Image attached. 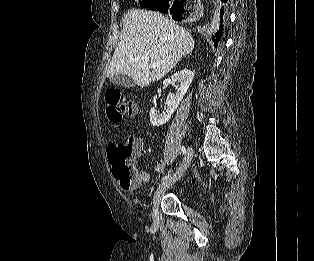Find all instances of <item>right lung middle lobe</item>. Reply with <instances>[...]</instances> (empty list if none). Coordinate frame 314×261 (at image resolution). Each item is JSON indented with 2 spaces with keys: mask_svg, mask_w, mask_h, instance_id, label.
Segmentation results:
<instances>
[{
  "mask_svg": "<svg viewBox=\"0 0 314 261\" xmlns=\"http://www.w3.org/2000/svg\"><path fill=\"white\" fill-rule=\"evenodd\" d=\"M161 1L162 0H139L140 6L142 8H148V7H150L152 5H155V4H157V3L161 2Z\"/></svg>",
  "mask_w": 314,
  "mask_h": 261,
  "instance_id": "right-lung-middle-lobe-1",
  "label": "right lung middle lobe"
}]
</instances>
